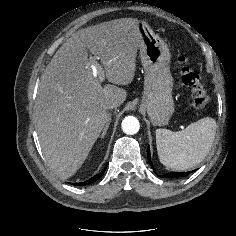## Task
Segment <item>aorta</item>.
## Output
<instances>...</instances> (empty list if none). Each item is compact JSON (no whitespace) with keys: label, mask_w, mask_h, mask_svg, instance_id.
<instances>
[{"label":"aorta","mask_w":236,"mask_h":236,"mask_svg":"<svg viewBox=\"0 0 236 236\" xmlns=\"http://www.w3.org/2000/svg\"><path fill=\"white\" fill-rule=\"evenodd\" d=\"M140 124L136 117L127 116L122 121V130L125 134L133 135L139 131Z\"/></svg>","instance_id":"1"}]
</instances>
